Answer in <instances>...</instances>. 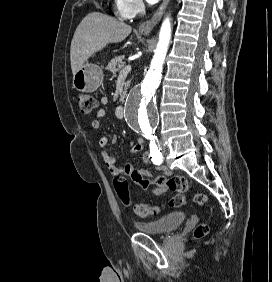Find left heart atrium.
<instances>
[{"mask_svg":"<svg viewBox=\"0 0 272 282\" xmlns=\"http://www.w3.org/2000/svg\"><path fill=\"white\" fill-rule=\"evenodd\" d=\"M148 1V3H150V4H155V3H157L159 0H147Z\"/></svg>","mask_w":272,"mask_h":282,"instance_id":"39dd6f15","label":"left heart atrium"}]
</instances>
